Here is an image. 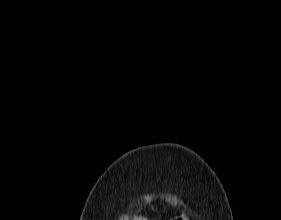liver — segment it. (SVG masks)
<instances>
[{
	"label": "liver",
	"mask_w": 281,
	"mask_h": 220,
	"mask_svg": "<svg viewBox=\"0 0 281 220\" xmlns=\"http://www.w3.org/2000/svg\"><path fill=\"white\" fill-rule=\"evenodd\" d=\"M134 220H147V219H145V218L142 219V218H136L135 217Z\"/></svg>",
	"instance_id": "obj_1"
}]
</instances>
